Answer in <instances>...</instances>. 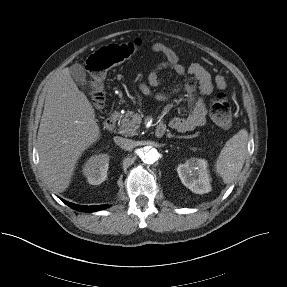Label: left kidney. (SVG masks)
I'll use <instances>...</instances> for the list:
<instances>
[{
    "instance_id": "5707ae66",
    "label": "left kidney",
    "mask_w": 287,
    "mask_h": 287,
    "mask_svg": "<svg viewBox=\"0 0 287 287\" xmlns=\"http://www.w3.org/2000/svg\"><path fill=\"white\" fill-rule=\"evenodd\" d=\"M177 172L182 184L192 192L204 194L211 191L206 160L190 158L178 166Z\"/></svg>"
}]
</instances>
